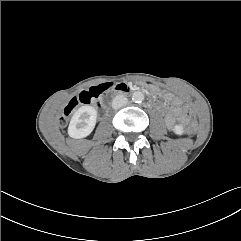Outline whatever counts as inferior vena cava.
Listing matches in <instances>:
<instances>
[{
  "label": "inferior vena cava",
  "mask_w": 241,
  "mask_h": 241,
  "mask_svg": "<svg viewBox=\"0 0 241 241\" xmlns=\"http://www.w3.org/2000/svg\"><path fill=\"white\" fill-rule=\"evenodd\" d=\"M127 102H128V99L125 96L117 95L112 101V107L114 109H119V108L125 106L127 104Z\"/></svg>",
  "instance_id": "inferior-vena-cava-1"
}]
</instances>
